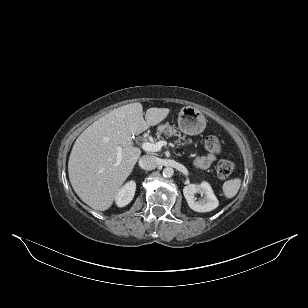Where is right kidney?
Listing matches in <instances>:
<instances>
[{
    "label": "right kidney",
    "instance_id": "1",
    "mask_svg": "<svg viewBox=\"0 0 308 308\" xmlns=\"http://www.w3.org/2000/svg\"><path fill=\"white\" fill-rule=\"evenodd\" d=\"M136 183L134 181H129L126 183L118 192L115 201L118 207H124L128 205L135 194Z\"/></svg>",
    "mask_w": 308,
    "mask_h": 308
}]
</instances>
